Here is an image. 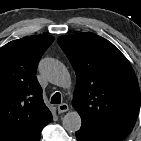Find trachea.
<instances>
[{
    "instance_id": "obj_1",
    "label": "trachea",
    "mask_w": 141,
    "mask_h": 141,
    "mask_svg": "<svg viewBox=\"0 0 141 141\" xmlns=\"http://www.w3.org/2000/svg\"><path fill=\"white\" fill-rule=\"evenodd\" d=\"M51 103L52 104H60L61 103V94L59 92L55 93L51 97Z\"/></svg>"
}]
</instances>
